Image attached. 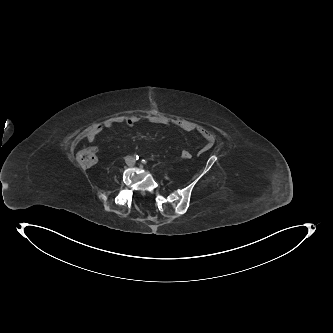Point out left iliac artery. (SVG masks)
I'll return each mask as SVG.
<instances>
[{
  "mask_svg": "<svg viewBox=\"0 0 333 333\" xmlns=\"http://www.w3.org/2000/svg\"><path fill=\"white\" fill-rule=\"evenodd\" d=\"M142 162H143L144 164H146V163H147V161H146V160H144V159L142 160Z\"/></svg>",
  "mask_w": 333,
  "mask_h": 333,
  "instance_id": "obj_1",
  "label": "left iliac artery"
}]
</instances>
